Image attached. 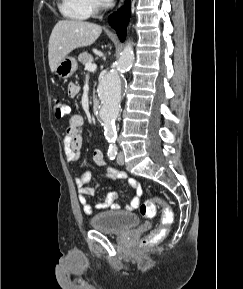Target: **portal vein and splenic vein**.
I'll use <instances>...</instances> for the list:
<instances>
[{
  "mask_svg": "<svg viewBox=\"0 0 243 289\" xmlns=\"http://www.w3.org/2000/svg\"><path fill=\"white\" fill-rule=\"evenodd\" d=\"M85 68H86L87 71L93 72V71L96 70L97 65H96V64H92L91 62H88V63L85 65Z\"/></svg>",
  "mask_w": 243,
  "mask_h": 289,
  "instance_id": "1",
  "label": "portal vein and splenic vein"
}]
</instances>
